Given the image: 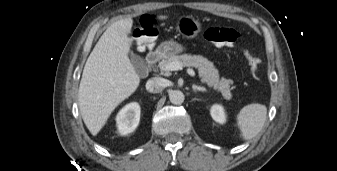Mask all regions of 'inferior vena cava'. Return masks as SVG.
Masks as SVG:
<instances>
[{"label": "inferior vena cava", "instance_id": "602c4592", "mask_svg": "<svg viewBox=\"0 0 337 171\" xmlns=\"http://www.w3.org/2000/svg\"><path fill=\"white\" fill-rule=\"evenodd\" d=\"M165 87L164 79L161 77H153L146 83V89L152 93H159Z\"/></svg>", "mask_w": 337, "mask_h": 171}]
</instances>
